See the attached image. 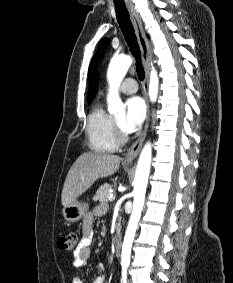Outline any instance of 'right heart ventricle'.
I'll return each instance as SVG.
<instances>
[{
	"instance_id": "1",
	"label": "right heart ventricle",
	"mask_w": 233,
	"mask_h": 283,
	"mask_svg": "<svg viewBox=\"0 0 233 283\" xmlns=\"http://www.w3.org/2000/svg\"><path fill=\"white\" fill-rule=\"evenodd\" d=\"M89 147L97 153H112L118 148L114 118L103 105H96L90 112L86 125Z\"/></svg>"
}]
</instances>
